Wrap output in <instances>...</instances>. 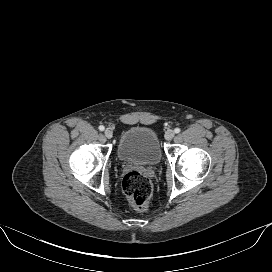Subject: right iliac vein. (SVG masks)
Segmentation results:
<instances>
[{"mask_svg": "<svg viewBox=\"0 0 272 272\" xmlns=\"http://www.w3.org/2000/svg\"><path fill=\"white\" fill-rule=\"evenodd\" d=\"M104 134H105L106 138H108V139H111V138L113 137V133H112V131L109 130V129H106V130L104 131Z\"/></svg>", "mask_w": 272, "mask_h": 272, "instance_id": "obj_1", "label": "right iliac vein"}]
</instances>
